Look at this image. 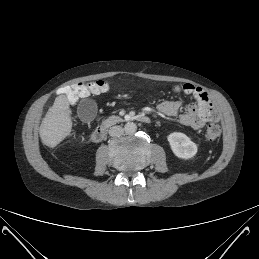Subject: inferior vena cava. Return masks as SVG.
<instances>
[{
	"label": "inferior vena cava",
	"mask_w": 259,
	"mask_h": 259,
	"mask_svg": "<svg viewBox=\"0 0 259 259\" xmlns=\"http://www.w3.org/2000/svg\"><path fill=\"white\" fill-rule=\"evenodd\" d=\"M124 133V129L121 126H113L109 129L110 136H121Z\"/></svg>",
	"instance_id": "obj_1"
}]
</instances>
